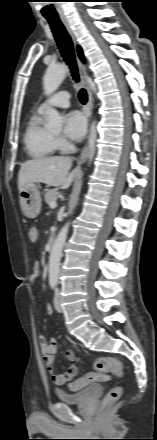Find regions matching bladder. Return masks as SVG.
Masks as SVG:
<instances>
[{
  "label": "bladder",
  "mask_w": 157,
  "mask_h": 440,
  "mask_svg": "<svg viewBox=\"0 0 157 440\" xmlns=\"http://www.w3.org/2000/svg\"><path fill=\"white\" fill-rule=\"evenodd\" d=\"M98 390V385H90L77 392H66L57 390L56 396L58 400L64 404H82L92 397Z\"/></svg>",
  "instance_id": "bladder-1"
}]
</instances>
